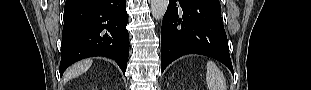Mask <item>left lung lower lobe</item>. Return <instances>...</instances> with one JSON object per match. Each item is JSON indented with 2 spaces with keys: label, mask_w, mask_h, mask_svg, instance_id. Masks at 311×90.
<instances>
[{
  "label": "left lung lower lobe",
  "mask_w": 311,
  "mask_h": 90,
  "mask_svg": "<svg viewBox=\"0 0 311 90\" xmlns=\"http://www.w3.org/2000/svg\"><path fill=\"white\" fill-rule=\"evenodd\" d=\"M186 54L212 57L234 74L219 3L169 0L161 28V71Z\"/></svg>",
  "instance_id": "0a47b994"
}]
</instances>
